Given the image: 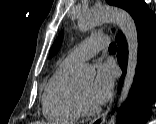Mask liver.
Wrapping results in <instances>:
<instances>
[{
    "instance_id": "liver-1",
    "label": "liver",
    "mask_w": 156,
    "mask_h": 124,
    "mask_svg": "<svg viewBox=\"0 0 156 124\" xmlns=\"http://www.w3.org/2000/svg\"><path fill=\"white\" fill-rule=\"evenodd\" d=\"M32 124H49V123H46V122H43V121H36V122H33Z\"/></svg>"
}]
</instances>
